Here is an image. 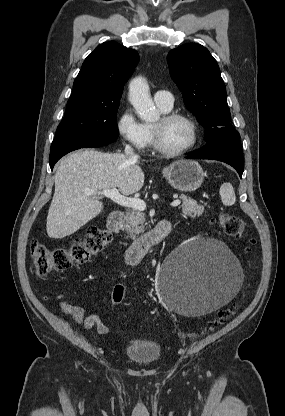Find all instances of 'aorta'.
I'll use <instances>...</instances> for the list:
<instances>
[{"label": "aorta", "instance_id": "aorta-1", "mask_svg": "<svg viewBox=\"0 0 285 416\" xmlns=\"http://www.w3.org/2000/svg\"><path fill=\"white\" fill-rule=\"evenodd\" d=\"M129 100L141 120L151 122L158 118V112L151 99L145 78L139 76L130 82Z\"/></svg>", "mask_w": 285, "mask_h": 416}]
</instances>
